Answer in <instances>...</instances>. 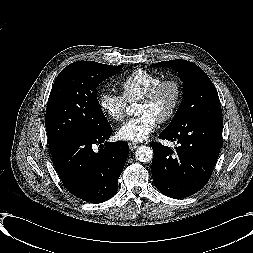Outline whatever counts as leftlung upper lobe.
Listing matches in <instances>:
<instances>
[{
  "instance_id": "1",
  "label": "left lung upper lobe",
  "mask_w": 253,
  "mask_h": 253,
  "mask_svg": "<svg viewBox=\"0 0 253 253\" xmlns=\"http://www.w3.org/2000/svg\"><path fill=\"white\" fill-rule=\"evenodd\" d=\"M152 66L172 68L184 81V100L165 130H176L190 121L222 117L216 88L207 74L196 64L177 59L158 62Z\"/></svg>"
}]
</instances>
